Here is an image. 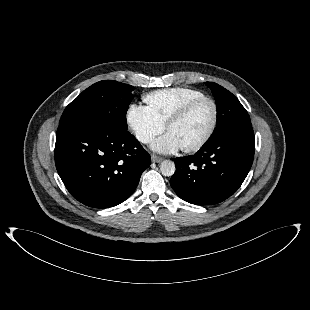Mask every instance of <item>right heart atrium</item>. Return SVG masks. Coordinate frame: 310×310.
I'll use <instances>...</instances> for the list:
<instances>
[{"mask_svg": "<svg viewBox=\"0 0 310 310\" xmlns=\"http://www.w3.org/2000/svg\"><path fill=\"white\" fill-rule=\"evenodd\" d=\"M126 122L135 138L142 144L151 143L165 129V125L160 123L146 106L135 103L127 110Z\"/></svg>", "mask_w": 310, "mask_h": 310, "instance_id": "right-heart-atrium-1", "label": "right heart atrium"}]
</instances>
